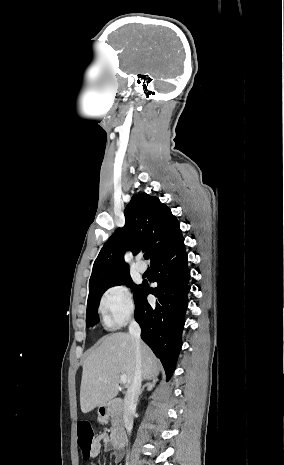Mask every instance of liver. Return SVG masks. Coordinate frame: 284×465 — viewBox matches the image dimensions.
<instances>
[{
    "label": "liver",
    "instance_id": "obj_1",
    "mask_svg": "<svg viewBox=\"0 0 284 465\" xmlns=\"http://www.w3.org/2000/svg\"><path fill=\"white\" fill-rule=\"evenodd\" d=\"M136 341L127 333H114L101 339V345L92 351L83 365L80 387L82 413H89L95 407H106L118 395L120 375H127V389L135 377ZM142 379L157 377L159 361L151 349L140 341Z\"/></svg>",
    "mask_w": 284,
    "mask_h": 465
}]
</instances>
